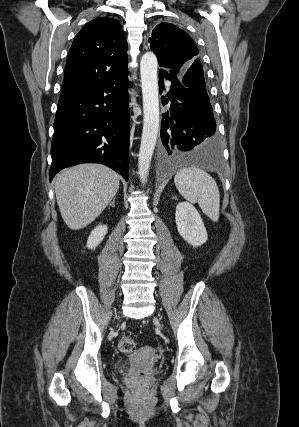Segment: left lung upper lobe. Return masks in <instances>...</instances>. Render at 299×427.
<instances>
[{"label":"left lung upper lobe","instance_id":"obj_1","mask_svg":"<svg viewBox=\"0 0 299 427\" xmlns=\"http://www.w3.org/2000/svg\"><path fill=\"white\" fill-rule=\"evenodd\" d=\"M150 48L162 68L180 70L182 83L207 92L199 51L191 37L174 24L160 23L149 38Z\"/></svg>","mask_w":299,"mask_h":427}]
</instances>
